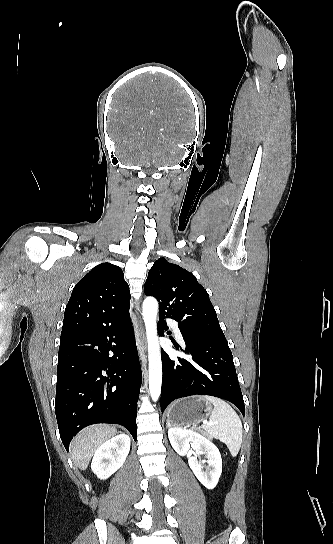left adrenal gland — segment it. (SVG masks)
<instances>
[{
	"instance_id": "a2214340",
	"label": "left adrenal gland",
	"mask_w": 333,
	"mask_h": 544,
	"mask_svg": "<svg viewBox=\"0 0 333 544\" xmlns=\"http://www.w3.org/2000/svg\"><path fill=\"white\" fill-rule=\"evenodd\" d=\"M166 427H167V428L171 427V424H170V422H169L168 420H167V422H166Z\"/></svg>"
}]
</instances>
